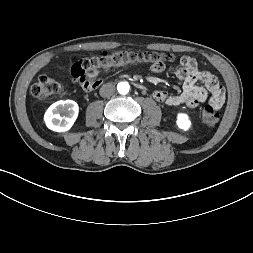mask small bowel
I'll use <instances>...</instances> for the list:
<instances>
[{"label":"small bowel","mask_w":253,"mask_h":253,"mask_svg":"<svg viewBox=\"0 0 253 253\" xmlns=\"http://www.w3.org/2000/svg\"><path fill=\"white\" fill-rule=\"evenodd\" d=\"M170 65V62H167ZM150 74L162 75L166 68L164 61L153 60L149 64ZM174 74L182 80V91L169 95L163 90L153 92V98L167 106L188 105L196 107L207 101L216 109H220L225 100V92L218 79L207 70L200 69L190 57H182ZM203 85L200 86L198 83Z\"/></svg>","instance_id":"small-bowel-1"}]
</instances>
